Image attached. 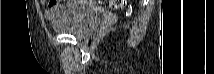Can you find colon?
Wrapping results in <instances>:
<instances>
[{
  "mask_svg": "<svg viewBox=\"0 0 214 74\" xmlns=\"http://www.w3.org/2000/svg\"><path fill=\"white\" fill-rule=\"evenodd\" d=\"M56 1H51V3H55ZM99 4L108 5L115 9H122L126 5V0H109V1H96Z\"/></svg>",
  "mask_w": 214,
  "mask_h": 74,
  "instance_id": "obj_1",
  "label": "colon"
}]
</instances>
